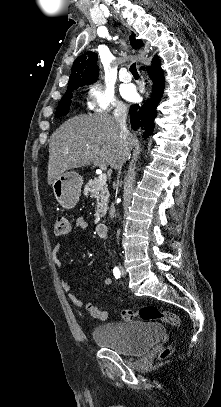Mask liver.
Wrapping results in <instances>:
<instances>
[{"label":"liver","instance_id":"6515ba94","mask_svg":"<svg viewBox=\"0 0 221 407\" xmlns=\"http://www.w3.org/2000/svg\"><path fill=\"white\" fill-rule=\"evenodd\" d=\"M135 137L130 134L124 154L119 125L107 113L79 115L64 122L49 140L48 184L67 170L94 164L113 169L130 155Z\"/></svg>","mask_w":221,"mask_h":407}]
</instances>
